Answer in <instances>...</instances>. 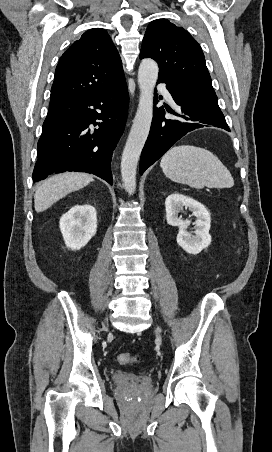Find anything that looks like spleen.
<instances>
[{
  "instance_id": "spleen-1",
  "label": "spleen",
  "mask_w": 272,
  "mask_h": 452,
  "mask_svg": "<svg viewBox=\"0 0 272 452\" xmlns=\"http://www.w3.org/2000/svg\"><path fill=\"white\" fill-rule=\"evenodd\" d=\"M160 166L170 180L201 189L231 188L234 180L229 170L209 150L195 146H175L161 159Z\"/></svg>"
}]
</instances>
